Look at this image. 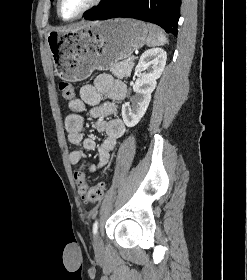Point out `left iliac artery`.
<instances>
[{
  "mask_svg": "<svg viewBox=\"0 0 247 280\" xmlns=\"http://www.w3.org/2000/svg\"><path fill=\"white\" fill-rule=\"evenodd\" d=\"M98 230V220H96L93 224V234L95 235Z\"/></svg>",
  "mask_w": 247,
  "mask_h": 280,
  "instance_id": "44dca946",
  "label": "left iliac artery"
}]
</instances>
